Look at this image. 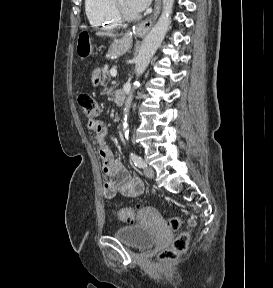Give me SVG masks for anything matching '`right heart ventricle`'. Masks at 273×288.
I'll return each instance as SVG.
<instances>
[{"label": "right heart ventricle", "mask_w": 273, "mask_h": 288, "mask_svg": "<svg viewBox=\"0 0 273 288\" xmlns=\"http://www.w3.org/2000/svg\"><path fill=\"white\" fill-rule=\"evenodd\" d=\"M85 11L90 24L95 28L111 30L121 25L112 0H85Z\"/></svg>", "instance_id": "right-heart-ventricle-1"}]
</instances>
